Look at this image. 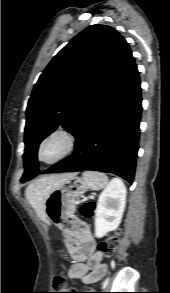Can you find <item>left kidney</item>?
I'll return each mask as SVG.
<instances>
[{
	"instance_id": "obj_1",
	"label": "left kidney",
	"mask_w": 170,
	"mask_h": 293,
	"mask_svg": "<svg viewBox=\"0 0 170 293\" xmlns=\"http://www.w3.org/2000/svg\"><path fill=\"white\" fill-rule=\"evenodd\" d=\"M126 205V187L120 179H113L99 196L95 210V237L101 238L116 230Z\"/></svg>"
}]
</instances>
